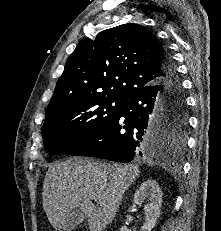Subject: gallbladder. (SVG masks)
I'll use <instances>...</instances> for the list:
<instances>
[{"instance_id": "obj_1", "label": "gallbladder", "mask_w": 221, "mask_h": 231, "mask_svg": "<svg viewBox=\"0 0 221 231\" xmlns=\"http://www.w3.org/2000/svg\"><path fill=\"white\" fill-rule=\"evenodd\" d=\"M85 219V215L80 210L72 211L65 220V223L63 225V231H71L72 229L83 223Z\"/></svg>"}]
</instances>
